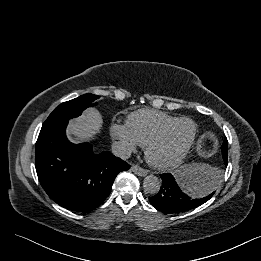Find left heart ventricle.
<instances>
[{
    "label": "left heart ventricle",
    "mask_w": 261,
    "mask_h": 261,
    "mask_svg": "<svg viewBox=\"0 0 261 261\" xmlns=\"http://www.w3.org/2000/svg\"><path fill=\"white\" fill-rule=\"evenodd\" d=\"M192 133V125L180 122L174 126L164 139L154 148L153 156L160 161L173 159L188 142Z\"/></svg>",
    "instance_id": "obj_1"
}]
</instances>
